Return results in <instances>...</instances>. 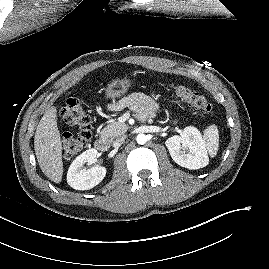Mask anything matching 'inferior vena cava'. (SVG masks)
<instances>
[{"mask_svg":"<svg viewBox=\"0 0 269 269\" xmlns=\"http://www.w3.org/2000/svg\"><path fill=\"white\" fill-rule=\"evenodd\" d=\"M126 136L119 137L113 142V147L118 148L124 142Z\"/></svg>","mask_w":269,"mask_h":269,"instance_id":"1","label":"inferior vena cava"}]
</instances>
